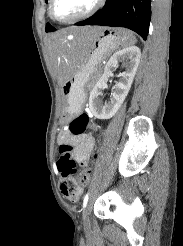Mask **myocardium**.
Returning a JSON list of instances; mask_svg holds the SVG:
<instances>
[{"label":"myocardium","mask_w":183,"mask_h":246,"mask_svg":"<svg viewBox=\"0 0 183 246\" xmlns=\"http://www.w3.org/2000/svg\"><path fill=\"white\" fill-rule=\"evenodd\" d=\"M104 1L105 0H96L95 3L93 4V6L81 15H78V16L72 17V18H68V19H59L54 15L55 0H50V2H49V15H50L52 20L59 22V23L66 24V23L77 22V21L86 19V18L90 17L91 15H93L94 13H96L101 8Z\"/></svg>","instance_id":"1"}]
</instances>
